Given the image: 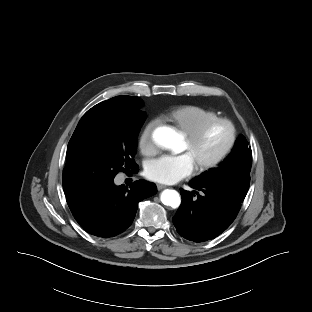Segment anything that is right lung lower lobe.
Wrapping results in <instances>:
<instances>
[{
  "label": "right lung lower lobe",
  "instance_id": "1",
  "mask_svg": "<svg viewBox=\"0 0 312 312\" xmlns=\"http://www.w3.org/2000/svg\"><path fill=\"white\" fill-rule=\"evenodd\" d=\"M157 192L153 183L138 180L128 189L112 181L67 201L76 221L90 234L108 238L133 222L138 203Z\"/></svg>",
  "mask_w": 312,
  "mask_h": 312
}]
</instances>
